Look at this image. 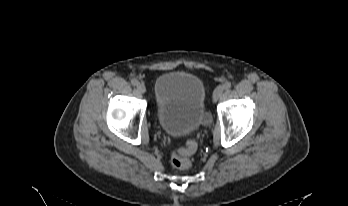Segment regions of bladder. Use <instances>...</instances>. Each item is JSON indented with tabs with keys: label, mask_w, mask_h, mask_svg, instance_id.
Returning a JSON list of instances; mask_svg holds the SVG:
<instances>
[{
	"label": "bladder",
	"mask_w": 348,
	"mask_h": 206,
	"mask_svg": "<svg viewBox=\"0 0 348 206\" xmlns=\"http://www.w3.org/2000/svg\"><path fill=\"white\" fill-rule=\"evenodd\" d=\"M155 112L160 128L170 137L197 133L208 125L205 85L200 78L184 72H166L154 83Z\"/></svg>",
	"instance_id": "obj_1"
}]
</instances>
